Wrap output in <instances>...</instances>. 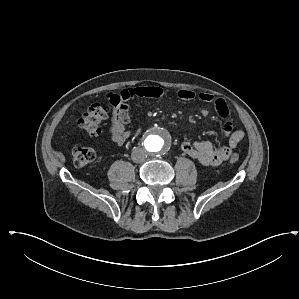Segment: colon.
I'll list each match as a JSON object with an SVG mask.
<instances>
[{
	"mask_svg": "<svg viewBox=\"0 0 299 299\" xmlns=\"http://www.w3.org/2000/svg\"><path fill=\"white\" fill-rule=\"evenodd\" d=\"M109 108L99 103L93 104L89 110L78 120L79 129L90 135L97 136L101 133L100 124L107 117ZM95 150L90 146H77L72 150L73 162L78 167H83L95 160ZM231 163L239 160L237 154H232L229 158Z\"/></svg>",
	"mask_w": 299,
	"mask_h": 299,
	"instance_id": "colon-1",
	"label": "colon"
}]
</instances>
